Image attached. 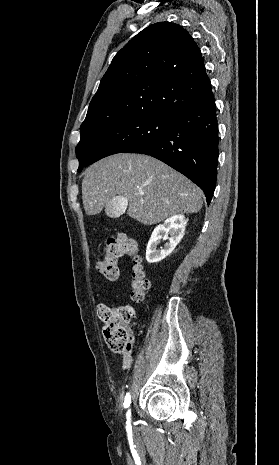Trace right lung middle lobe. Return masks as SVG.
<instances>
[{
	"mask_svg": "<svg viewBox=\"0 0 279 465\" xmlns=\"http://www.w3.org/2000/svg\"><path fill=\"white\" fill-rule=\"evenodd\" d=\"M171 121L167 116L140 115L81 130L76 147L78 172L106 156L143 149L164 135Z\"/></svg>",
	"mask_w": 279,
	"mask_h": 465,
	"instance_id": "obj_1",
	"label": "right lung middle lobe"
}]
</instances>
